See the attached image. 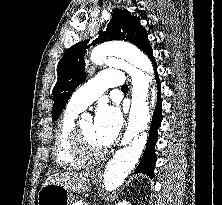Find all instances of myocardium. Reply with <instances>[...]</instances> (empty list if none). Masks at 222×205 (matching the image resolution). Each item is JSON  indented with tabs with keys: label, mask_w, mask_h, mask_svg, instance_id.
Instances as JSON below:
<instances>
[{
	"label": "myocardium",
	"mask_w": 222,
	"mask_h": 205,
	"mask_svg": "<svg viewBox=\"0 0 222 205\" xmlns=\"http://www.w3.org/2000/svg\"><path fill=\"white\" fill-rule=\"evenodd\" d=\"M71 140L75 155L85 163L97 162L106 155L105 149L94 151L87 145L82 135L80 124L74 125Z\"/></svg>",
	"instance_id": "f54148a6"
}]
</instances>
